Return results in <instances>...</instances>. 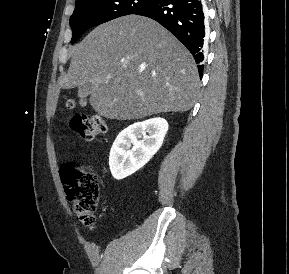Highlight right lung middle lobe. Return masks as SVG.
Returning <instances> with one entry per match:
<instances>
[{
  "label": "right lung middle lobe",
  "instance_id": "obj_1",
  "mask_svg": "<svg viewBox=\"0 0 289 274\" xmlns=\"http://www.w3.org/2000/svg\"><path fill=\"white\" fill-rule=\"evenodd\" d=\"M156 0H76L70 18L71 43L77 42L84 32L112 19L135 14Z\"/></svg>",
  "mask_w": 289,
  "mask_h": 274
}]
</instances>
